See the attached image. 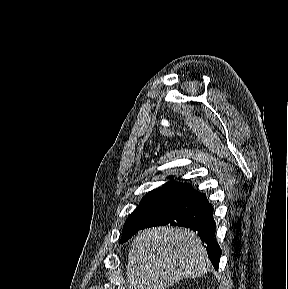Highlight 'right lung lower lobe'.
<instances>
[{
    "label": "right lung lower lobe",
    "mask_w": 288,
    "mask_h": 289,
    "mask_svg": "<svg viewBox=\"0 0 288 289\" xmlns=\"http://www.w3.org/2000/svg\"><path fill=\"white\" fill-rule=\"evenodd\" d=\"M212 214L213 207L206 199L205 194L190 189L178 203L143 228L170 224L189 227L197 231L200 238L205 242L211 263L217 269L221 249L215 239L216 224Z\"/></svg>",
    "instance_id": "obj_1"
}]
</instances>
